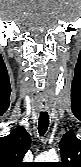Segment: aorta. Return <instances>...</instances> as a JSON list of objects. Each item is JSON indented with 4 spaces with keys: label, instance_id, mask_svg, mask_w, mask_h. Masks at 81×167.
<instances>
[{
    "label": "aorta",
    "instance_id": "762f6f07",
    "mask_svg": "<svg viewBox=\"0 0 81 167\" xmlns=\"http://www.w3.org/2000/svg\"><path fill=\"white\" fill-rule=\"evenodd\" d=\"M36 160L38 162H58L59 158L56 152L50 151L40 154Z\"/></svg>",
    "mask_w": 81,
    "mask_h": 167
}]
</instances>
